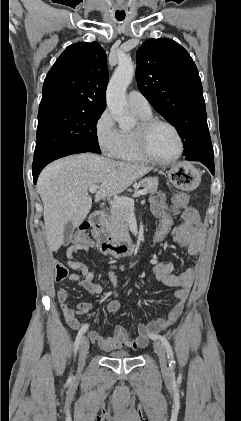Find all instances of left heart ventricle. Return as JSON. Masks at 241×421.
I'll return each instance as SVG.
<instances>
[{
    "instance_id": "b2bd125f",
    "label": "left heart ventricle",
    "mask_w": 241,
    "mask_h": 421,
    "mask_svg": "<svg viewBox=\"0 0 241 421\" xmlns=\"http://www.w3.org/2000/svg\"><path fill=\"white\" fill-rule=\"evenodd\" d=\"M149 146L152 153L160 159L173 157L179 149L175 133L165 125H158L151 131Z\"/></svg>"
}]
</instances>
